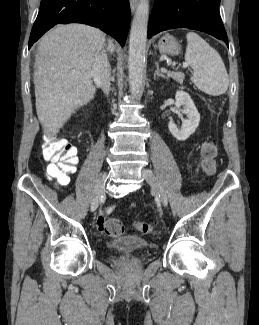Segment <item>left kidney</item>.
<instances>
[{
	"mask_svg": "<svg viewBox=\"0 0 259 325\" xmlns=\"http://www.w3.org/2000/svg\"><path fill=\"white\" fill-rule=\"evenodd\" d=\"M175 106L184 108L181 110L182 114L187 116L183 121L181 129H178L173 120L168 123L170 133L179 141H185L191 134H193L200 122V114L188 93L184 91H177L175 95Z\"/></svg>",
	"mask_w": 259,
	"mask_h": 325,
	"instance_id": "left-kidney-1",
	"label": "left kidney"
}]
</instances>
